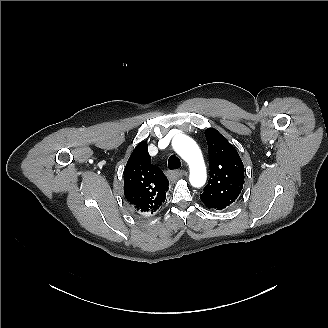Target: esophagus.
Here are the masks:
<instances>
[{
	"instance_id": "obj_1",
	"label": "esophagus",
	"mask_w": 328,
	"mask_h": 328,
	"mask_svg": "<svg viewBox=\"0 0 328 328\" xmlns=\"http://www.w3.org/2000/svg\"><path fill=\"white\" fill-rule=\"evenodd\" d=\"M183 175H184V171H180V170H169V171H167V176L170 179L180 178Z\"/></svg>"
}]
</instances>
